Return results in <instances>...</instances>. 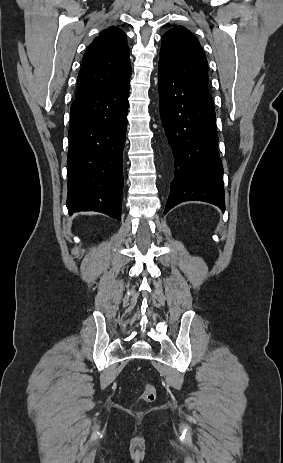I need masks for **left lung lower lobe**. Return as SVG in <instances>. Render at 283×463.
<instances>
[{
  "label": "left lung lower lobe",
  "mask_w": 283,
  "mask_h": 463,
  "mask_svg": "<svg viewBox=\"0 0 283 463\" xmlns=\"http://www.w3.org/2000/svg\"><path fill=\"white\" fill-rule=\"evenodd\" d=\"M160 116L175 159V175L164 214L177 204L196 200L225 209L223 166L210 94L192 87L159 62Z\"/></svg>",
  "instance_id": "1"
}]
</instances>
